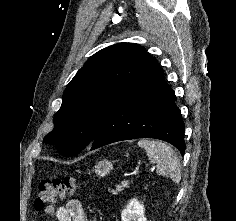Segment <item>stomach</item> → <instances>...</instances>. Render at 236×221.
<instances>
[{"label":"stomach","mask_w":236,"mask_h":221,"mask_svg":"<svg viewBox=\"0 0 236 221\" xmlns=\"http://www.w3.org/2000/svg\"><path fill=\"white\" fill-rule=\"evenodd\" d=\"M112 169L113 165L108 160H102L94 167L95 173L100 177H104L105 175L109 174Z\"/></svg>","instance_id":"1"}]
</instances>
